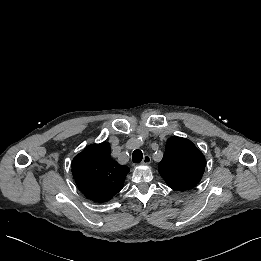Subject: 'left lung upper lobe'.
Returning a JSON list of instances; mask_svg holds the SVG:
<instances>
[{"instance_id": "left-lung-upper-lobe-1", "label": "left lung upper lobe", "mask_w": 261, "mask_h": 261, "mask_svg": "<svg viewBox=\"0 0 261 261\" xmlns=\"http://www.w3.org/2000/svg\"><path fill=\"white\" fill-rule=\"evenodd\" d=\"M205 165L204 155L191 141L171 137L167 140L158 171L170 188L185 191L199 183Z\"/></svg>"}]
</instances>
